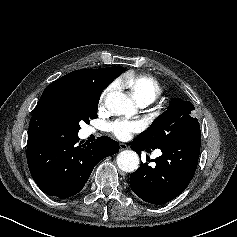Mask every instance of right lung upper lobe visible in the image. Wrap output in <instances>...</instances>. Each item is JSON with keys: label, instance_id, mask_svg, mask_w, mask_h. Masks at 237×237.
<instances>
[{"label": "right lung upper lobe", "instance_id": "obj_1", "mask_svg": "<svg viewBox=\"0 0 237 237\" xmlns=\"http://www.w3.org/2000/svg\"><path fill=\"white\" fill-rule=\"evenodd\" d=\"M97 91L92 70H75L52 82L46 87L34 109L28 129V141L44 135L58 134L56 109L61 96H90Z\"/></svg>", "mask_w": 237, "mask_h": 237}]
</instances>
